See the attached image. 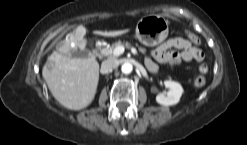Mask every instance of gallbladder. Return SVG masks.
<instances>
[{"instance_id": "gallbladder-1", "label": "gallbladder", "mask_w": 247, "mask_h": 145, "mask_svg": "<svg viewBox=\"0 0 247 145\" xmlns=\"http://www.w3.org/2000/svg\"><path fill=\"white\" fill-rule=\"evenodd\" d=\"M63 42L57 44L56 48L57 51L61 48ZM71 57L73 58H87L90 56V52L88 50H78V49H71L70 50Z\"/></svg>"}]
</instances>
